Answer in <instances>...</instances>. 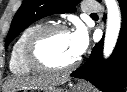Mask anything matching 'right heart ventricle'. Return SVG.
<instances>
[{"label":"right heart ventricle","instance_id":"right-heart-ventricle-1","mask_svg":"<svg viewBox=\"0 0 127 92\" xmlns=\"http://www.w3.org/2000/svg\"><path fill=\"white\" fill-rule=\"evenodd\" d=\"M42 26L41 23L28 26L14 43L9 60V68L12 73L16 75H29L35 72L25 60L24 49L28 38Z\"/></svg>","mask_w":127,"mask_h":92}]
</instances>
